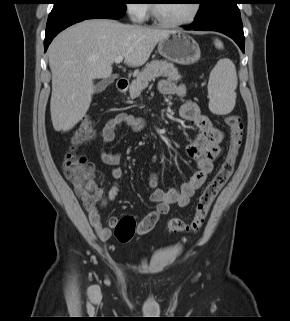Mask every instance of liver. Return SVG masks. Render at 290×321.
<instances>
[{"instance_id":"obj_1","label":"liver","mask_w":290,"mask_h":321,"mask_svg":"<svg viewBox=\"0 0 290 321\" xmlns=\"http://www.w3.org/2000/svg\"><path fill=\"white\" fill-rule=\"evenodd\" d=\"M172 32L107 19L85 20L62 31L48 49L54 129L69 131L85 116L94 80L110 77L116 57L122 56L130 67L142 66Z\"/></svg>"}]
</instances>
